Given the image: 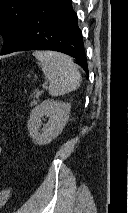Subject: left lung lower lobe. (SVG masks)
Wrapping results in <instances>:
<instances>
[{"instance_id":"left-lung-lower-lobe-1","label":"left lung lower lobe","mask_w":128,"mask_h":213,"mask_svg":"<svg viewBox=\"0 0 128 213\" xmlns=\"http://www.w3.org/2000/svg\"><path fill=\"white\" fill-rule=\"evenodd\" d=\"M36 49L70 55L88 73L82 32L71 0H38L9 47L1 54Z\"/></svg>"}]
</instances>
